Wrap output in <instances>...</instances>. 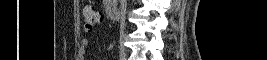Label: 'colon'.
<instances>
[{
  "mask_svg": "<svg viewBox=\"0 0 267 60\" xmlns=\"http://www.w3.org/2000/svg\"><path fill=\"white\" fill-rule=\"evenodd\" d=\"M102 15L93 7H86L83 10V28L85 31H92L101 23Z\"/></svg>",
  "mask_w": 267,
  "mask_h": 60,
  "instance_id": "colon-1",
  "label": "colon"
}]
</instances>
